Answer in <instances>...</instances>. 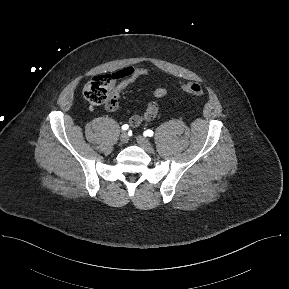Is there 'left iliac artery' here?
<instances>
[{"label":"left iliac artery","instance_id":"44dca946","mask_svg":"<svg viewBox=\"0 0 289 289\" xmlns=\"http://www.w3.org/2000/svg\"><path fill=\"white\" fill-rule=\"evenodd\" d=\"M145 136H149V137H152L153 136V131L152 130H146L144 132Z\"/></svg>","mask_w":289,"mask_h":289}]
</instances>
